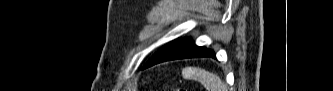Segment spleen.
I'll list each match as a JSON object with an SVG mask.
<instances>
[{"mask_svg": "<svg viewBox=\"0 0 333 91\" xmlns=\"http://www.w3.org/2000/svg\"><path fill=\"white\" fill-rule=\"evenodd\" d=\"M182 76L185 79H191L200 82L207 91H227L225 83L219 76L204 69L186 67L182 70Z\"/></svg>", "mask_w": 333, "mask_h": 91, "instance_id": "spleen-1", "label": "spleen"}]
</instances>
